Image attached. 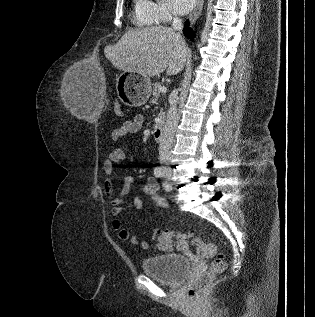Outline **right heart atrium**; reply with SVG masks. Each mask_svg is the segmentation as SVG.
Here are the masks:
<instances>
[{"label": "right heart atrium", "mask_w": 315, "mask_h": 317, "mask_svg": "<svg viewBox=\"0 0 315 317\" xmlns=\"http://www.w3.org/2000/svg\"><path fill=\"white\" fill-rule=\"evenodd\" d=\"M149 4L157 22H165L172 17L166 4L155 2H149Z\"/></svg>", "instance_id": "right-heart-atrium-1"}]
</instances>
